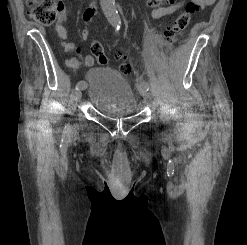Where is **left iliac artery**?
Listing matches in <instances>:
<instances>
[{
  "mask_svg": "<svg viewBox=\"0 0 247 245\" xmlns=\"http://www.w3.org/2000/svg\"><path fill=\"white\" fill-rule=\"evenodd\" d=\"M140 84L147 85L145 81H140Z\"/></svg>",
  "mask_w": 247,
  "mask_h": 245,
  "instance_id": "44dca946",
  "label": "left iliac artery"
}]
</instances>
